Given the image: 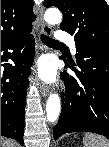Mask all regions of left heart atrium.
<instances>
[{
    "instance_id": "left-heart-atrium-1",
    "label": "left heart atrium",
    "mask_w": 109,
    "mask_h": 147,
    "mask_svg": "<svg viewBox=\"0 0 109 147\" xmlns=\"http://www.w3.org/2000/svg\"><path fill=\"white\" fill-rule=\"evenodd\" d=\"M39 75L42 80L53 82L56 77V68L54 63L49 59L43 60L40 64Z\"/></svg>"
}]
</instances>
